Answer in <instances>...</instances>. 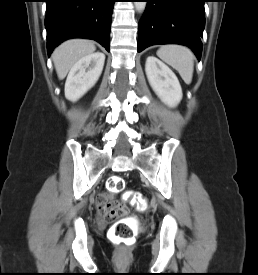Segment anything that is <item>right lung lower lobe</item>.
<instances>
[{"label":"right lung lower lobe","mask_w":258,"mask_h":275,"mask_svg":"<svg viewBox=\"0 0 258 275\" xmlns=\"http://www.w3.org/2000/svg\"><path fill=\"white\" fill-rule=\"evenodd\" d=\"M47 50L50 55L61 42L87 38L110 49V28L115 0H45Z\"/></svg>","instance_id":"obj_1"}]
</instances>
